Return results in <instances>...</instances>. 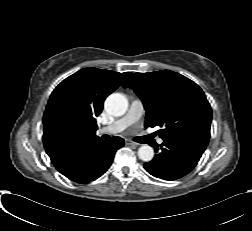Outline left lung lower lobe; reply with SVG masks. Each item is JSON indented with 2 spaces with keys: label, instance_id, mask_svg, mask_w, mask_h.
Here are the masks:
<instances>
[{
  "label": "left lung lower lobe",
  "instance_id": "left-lung-lower-lobe-1",
  "mask_svg": "<svg viewBox=\"0 0 252 231\" xmlns=\"http://www.w3.org/2000/svg\"><path fill=\"white\" fill-rule=\"evenodd\" d=\"M155 145L157 154L144 164V168L154 177L175 180L188 174L198 163L209 138L198 134H184L171 139H163Z\"/></svg>",
  "mask_w": 252,
  "mask_h": 231
}]
</instances>
